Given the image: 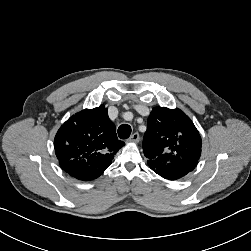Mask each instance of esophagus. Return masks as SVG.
I'll return each mask as SVG.
<instances>
[{
  "label": "esophagus",
  "mask_w": 251,
  "mask_h": 251,
  "mask_svg": "<svg viewBox=\"0 0 251 251\" xmlns=\"http://www.w3.org/2000/svg\"><path fill=\"white\" fill-rule=\"evenodd\" d=\"M139 140H140L139 134L136 132V133L132 134V135L127 139V142H128V143H130V142L137 143V142H139Z\"/></svg>",
  "instance_id": "esophagus-1"
}]
</instances>
